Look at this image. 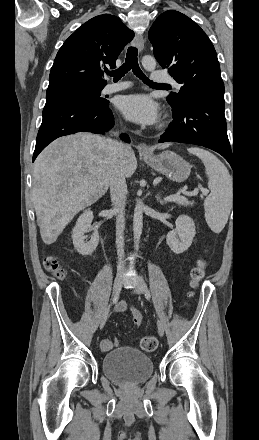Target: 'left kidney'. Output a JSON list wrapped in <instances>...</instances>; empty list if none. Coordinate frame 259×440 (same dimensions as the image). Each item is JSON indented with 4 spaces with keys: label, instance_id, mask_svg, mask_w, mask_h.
I'll return each mask as SVG.
<instances>
[{
    "label": "left kidney",
    "instance_id": "left-kidney-1",
    "mask_svg": "<svg viewBox=\"0 0 259 440\" xmlns=\"http://www.w3.org/2000/svg\"><path fill=\"white\" fill-rule=\"evenodd\" d=\"M175 230L170 231L166 236L169 248L175 254H181L192 244L196 235L195 224L192 218L186 215H180L176 219Z\"/></svg>",
    "mask_w": 259,
    "mask_h": 440
}]
</instances>
